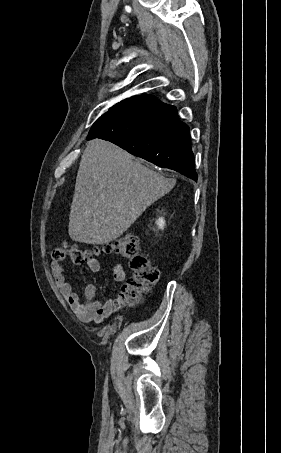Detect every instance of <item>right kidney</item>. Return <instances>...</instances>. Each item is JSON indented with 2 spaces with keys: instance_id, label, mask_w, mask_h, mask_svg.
<instances>
[{
  "instance_id": "right-kidney-1",
  "label": "right kidney",
  "mask_w": 281,
  "mask_h": 453,
  "mask_svg": "<svg viewBox=\"0 0 281 453\" xmlns=\"http://www.w3.org/2000/svg\"><path fill=\"white\" fill-rule=\"evenodd\" d=\"M156 224H158V229H165V218L164 216H159L156 220Z\"/></svg>"
}]
</instances>
